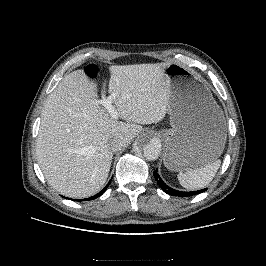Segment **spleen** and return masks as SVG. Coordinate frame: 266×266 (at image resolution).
<instances>
[{
    "instance_id": "1",
    "label": "spleen",
    "mask_w": 266,
    "mask_h": 266,
    "mask_svg": "<svg viewBox=\"0 0 266 266\" xmlns=\"http://www.w3.org/2000/svg\"><path fill=\"white\" fill-rule=\"evenodd\" d=\"M221 160H215L203 167L189 170L186 172H180L178 174V180L181 186L186 189L196 190L207 186L215 177Z\"/></svg>"
}]
</instances>
